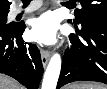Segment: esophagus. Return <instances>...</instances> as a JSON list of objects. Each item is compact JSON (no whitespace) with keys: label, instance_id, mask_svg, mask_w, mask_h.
Returning a JSON list of instances; mask_svg holds the SVG:
<instances>
[{"label":"esophagus","instance_id":"1","mask_svg":"<svg viewBox=\"0 0 107 89\" xmlns=\"http://www.w3.org/2000/svg\"><path fill=\"white\" fill-rule=\"evenodd\" d=\"M50 57H51L50 51H47L44 49L41 51V60H42L43 67H46V65L48 64L50 60Z\"/></svg>","mask_w":107,"mask_h":89}]
</instances>
